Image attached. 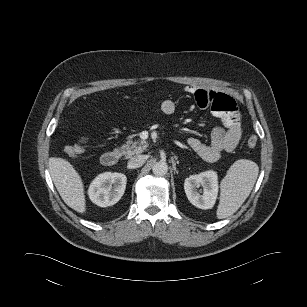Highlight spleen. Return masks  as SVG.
I'll return each instance as SVG.
<instances>
[{
	"mask_svg": "<svg viewBox=\"0 0 307 307\" xmlns=\"http://www.w3.org/2000/svg\"><path fill=\"white\" fill-rule=\"evenodd\" d=\"M259 173L258 165L247 159L235 161L220 184L217 218L233 215L250 195Z\"/></svg>",
	"mask_w": 307,
	"mask_h": 307,
	"instance_id": "obj_1",
	"label": "spleen"
}]
</instances>
